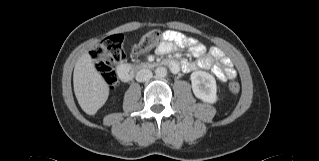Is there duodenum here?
Masks as SVG:
<instances>
[{
    "label": "duodenum",
    "instance_id": "1",
    "mask_svg": "<svg viewBox=\"0 0 319 161\" xmlns=\"http://www.w3.org/2000/svg\"><path fill=\"white\" fill-rule=\"evenodd\" d=\"M157 65L156 62H144L139 63L135 66H130L127 64H121L117 68L118 77L122 82H128L134 76V73L137 70L152 69ZM164 65L167 66L173 73L179 71V64L174 60H168L164 62Z\"/></svg>",
    "mask_w": 319,
    "mask_h": 161
}]
</instances>
